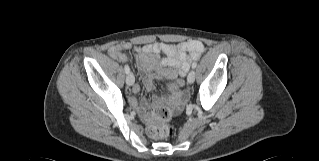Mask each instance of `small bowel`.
Returning <instances> with one entry per match:
<instances>
[{"label":"small bowel","instance_id":"obj_1","mask_svg":"<svg viewBox=\"0 0 319 161\" xmlns=\"http://www.w3.org/2000/svg\"><path fill=\"white\" fill-rule=\"evenodd\" d=\"M131 47V43L124 42L111 46L107 52L114 59L127 61L128 57L124 51ZM204 50V44L197 40L183 41L178 44L154 42L135 47V59L138 69L144 74L145 87L152 90L153 80L156 78L161 79L165 76L178 78L172 98L168 103L173 110L179 111L187 99V93L183 89V78L189 70L190 63L199 59ZM161 54L165 57L161 58ZM173 68H176V70H173ZM132 90L137 94L141 88L138 84H134ZM160 103V99L154 98L151 101L138 104L135 98H130V104L134 107L138 116L144 120H148L150 117L147 106Z\"/></svg>","mask_w":319,"mask_h":161}]
</instances>
